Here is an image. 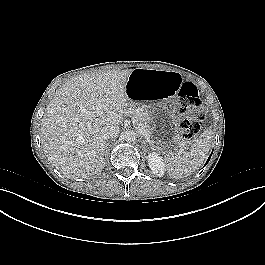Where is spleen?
I'll use <instances>...</instances> for the list:
<instances>
[{
    "label": "spleen",
    "mask_w": 265,
    "mask_h": 265,
    "mask_svg": "<svg viewBox=\"0 0 265 265\" xmlns=\"http://www.w3.org/2000/svg\"><path fill=\"white\" fill-rule=\"evenodd\" d=\"M212 132L204 131L201 136L195 140L188 152L180 154H168L165 158V166L168 173L176 179L186 177L198 170L203 164L212 143Z\"/></svg>",
    "instance_id": "3e777b00"
}]
</instances>
